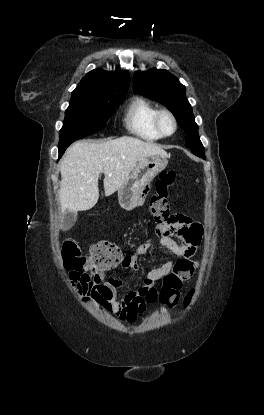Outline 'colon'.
I'll use <instances>...</instances> for the list:
<instances>
[{
  "mask_svg": "<svg viewBox=\"0 0 264 415\" xmlns=\"http://www.w3.org/2000/svg\"><path fill=\"white\" fill-rule=\"evenodd\" d=\"M176 172L165 170L159 174L156 182V191L150 199V212L157 223V232L166 234L170 230L166 224L171 221L168 204V191L175 184ZM62 266L71 275L80 274L85 271H96L106 269L121 262L126 256L120 248L111 241L97 243L87 257L80 254L77 245L73 241H65L61 249ZM197 261H180L175 264L173 270L167 274L162 281L161 288L151 290L148 294V303H153L157 298L168 306H175L179 300V292L182 287L183 279L195 268ZM80 289V284L78 283ZM193 298L190 292L184 301L188 307Z\"/></svg>",
  "mask_w": 264,
  "mask_h": 415,
  "instance_id": "obj_1",
  "label": "colon"
}]
</instances>
